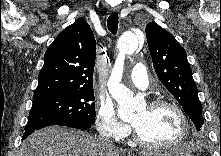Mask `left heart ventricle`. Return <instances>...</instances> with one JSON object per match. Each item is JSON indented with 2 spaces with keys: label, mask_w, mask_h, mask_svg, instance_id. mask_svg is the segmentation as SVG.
Instances as JSON below:
<instances>
[{
  "label": "left heart ventricle",
  "mask_w": 221,
  "mask_h": 156,
  "mask_svg": "<svg viewBox=\"0 0 221 156\" xmlns=\"http://www.w3.org/2000/svg\"><path fill=\"white\" fill-rule=\"evenodd\" d=\"M142 137L152 143L167 144L177 138L181 122L177 113L164 106L150 109L146 106L132 120Z\"/></svg>",
  "instance_id": "left-heart-ventricle-1"
}]
</instances>
